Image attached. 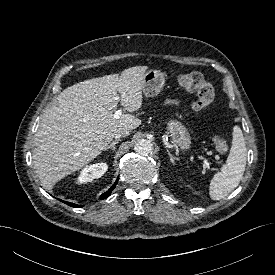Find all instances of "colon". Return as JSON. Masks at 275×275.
I'll use <instances>...</instances> for the list:
<instances>
[{
    "label": "colon",
    "instance_id": "obj_1",
    "mask_svg": "<svg viewBox=\"0 0 275 275\" xmlns=\"http://www.w3.org/2000/svg\"><path fill=\"white\" fill-rule=\"evenodd\" d=\"M177 83L183 90L196 94V100L193 103L194 110L202 111L212 104L214 100L213 88L199 72L179 74ZM212 145L217 152L224 153L228 148L227 138L216 135L212 138Z\"/></svg>",
    "mask_w": 275,
    "mask_h": 275
}]
</instances>
